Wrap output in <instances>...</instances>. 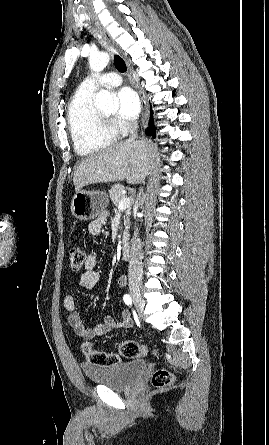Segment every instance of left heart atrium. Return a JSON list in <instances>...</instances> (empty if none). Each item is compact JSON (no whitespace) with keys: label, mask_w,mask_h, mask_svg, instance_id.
Returning <instances> with one entry per match:
<instances>
[{"label":"left heart atrium","mask_w":269,"mask_h":445,"mask_svg":"<svg viewBox=\"0 0 269 445\" xmlns=\"http://www.w3.org/2000/svg\"><path fill=\"white\" fill-rule=\"evenodd\" d=\"M118 115L122 119L133 120L140 111V99L137 93L129 88L123 87L117 92Z\"/></svg>","instance_id":"obj_1"}]
</instances>
